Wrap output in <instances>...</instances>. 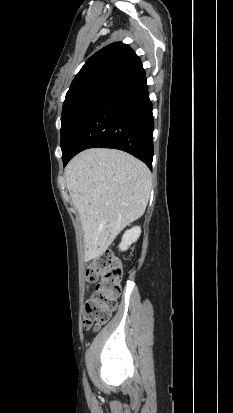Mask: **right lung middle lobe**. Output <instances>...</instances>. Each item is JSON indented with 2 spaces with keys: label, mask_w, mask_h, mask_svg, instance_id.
I'll return each instance as SVG.
<instances>
[{
  "label": "right lung middle lobe",
  "mask_w": 233,
  "mask_h": 413,
  "mask_svg": "<svg viewBox=\"0 0 233 413\" xmlns=\"http://www.w3.org/2000/svg\"><path fill=\"white\" fill-rule=\"evenodd\" d=\"M116 79L87 82L66 95L61 117L62 158L70 151L85 121Z\"/></svg>",
  "instance_id": "1"
}]
</instances>
